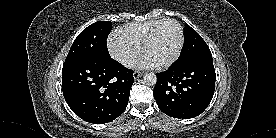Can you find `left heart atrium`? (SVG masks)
I'll use <instances>...</instances> for the list:
<instances>
[{"mask_svg":"<svg viewBox=\"0 0 276 138\" xmlns=\"http://www.w3.org/2000/svg\"><path fill=\"white\" fill-rule=\"evenodd\" d=\"M156 65L145 55L138 61V67L140 68H153Z\"/></svg>","mask_w":276,"mask_h":138,"instance_id":"39dd6f15","label":"left heart atrium"}]
</instances>
